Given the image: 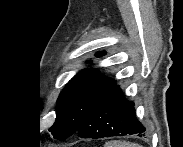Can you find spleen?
Listing matches in <instances>:
<instances>
[{
	"label": "spleen",
	"mask_w": 183,
	"mask_h": 147,
	"mask_svg": "<svg viewBox=\"0 0 183 147\" xmlns=\"http://www.w3.org/2000/svg\"><path fill=\"white\" fill-rule=\"evenodd\" d=\"M105 147H141V145L126 141H110L105 144Z\"/></svg>",
	"instance_id": "obj_1"
}]
</instances>
